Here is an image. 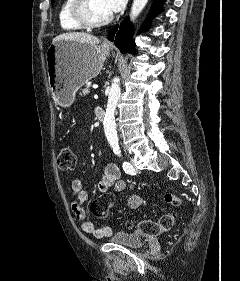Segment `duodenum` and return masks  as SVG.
<instances>
[{"mask_svg": "<svg viewBox=\"0 0 240 281\" xmlns=\"http://www.w3.org/2000/svg\"><path fill=\"white\" fill-rule=\"evenodd\" d=\"M95 116L100 122H103L105 119V111L101 108H97L95 110Z\"/></svg>", "mask_w": 240, "mask_h": 281, "instance_id": "1", "label": "duodenum"}]
</instances>
